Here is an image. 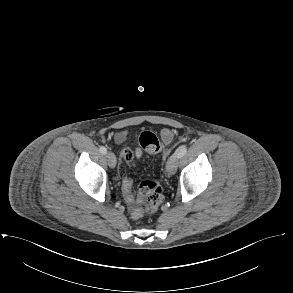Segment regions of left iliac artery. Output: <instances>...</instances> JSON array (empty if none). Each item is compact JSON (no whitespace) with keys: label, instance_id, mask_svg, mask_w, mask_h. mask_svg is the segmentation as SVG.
I'll return each instance as SVG.
<instances>
[{"label":"left iliac artery","instance_id":"obj_1","mask_svg":"<svg viewBox=\"0 0 293 293\" xmlns=\"http://www.w3.org/2000/svg\"><path fill=\"white\" fill-rule=\"evenodd\" d=\"M186 152H187V146L182 145L177 149L176 154H177L178 158H181L182 156H184L186 154Z\"/></svg>","mask_w":293,"mask_h":293}]
</instances>
